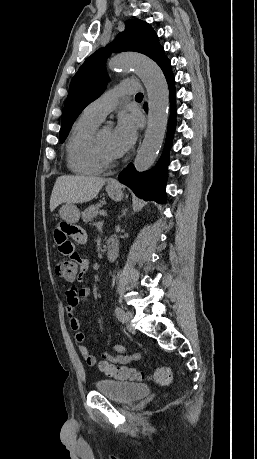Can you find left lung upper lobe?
<instances>
[{"label": "left lung upper lobe", "mask_w": 257, "mask_h": 459, "mask_svg": "<svg viewBox=\"0 0 257 459\" xmlns=\"http://www.w3.org/2000/svg\"><path fill=\"white\" fill-rule=\"evenodd\" d=\"M111 51H136L147 55L157 64L165 57L164 49L151 26L139 19L129 20L125 30L110 45L89 56L72 78L61 118V143L82 110L105 90L108 81L105 62Z\"/></svg>", "instance_id": "left-lung-upper-lobe-1"}]
</instances>
